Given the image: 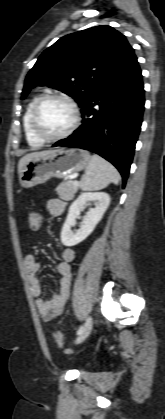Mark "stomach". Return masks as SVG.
I'll return each mask as SVG.
<instances>
[{"label": "stomach", "instance_id": "stomach-1", "mask_svg": "<svg viewBox=\"0 0 165 419\" xmlns=\"http://www.w3.org/2000/svg\"><path fill=\"white\" fill-rule=\"evenodd\" d=\"M90 154L82 149H60L31 159L19 173L20 185L30 188L49 179L66 178L87 167Z\"/></svg>", "mask_w": 165, "mask_h": 419}]
</instances>
